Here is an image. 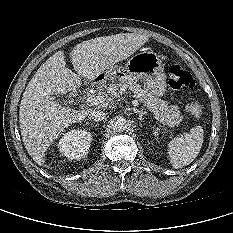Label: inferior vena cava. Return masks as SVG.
Wrapping results in <instances>:
<instances>
[{"label": "inferior vena cava", "instance_id": "obj_1", "mask_svg": "<svg viewBox=\"0 0 233 233\" xmlns=\"http://www.w3.org/2000/svg\"><path fill=\"white\" fill-rule=\"evenodd\" d=\"M88 118L92 121H102L106 118V113L102 110H92L88 114Z\"/></svg>", "mask_w": 233, "mask_h": 233}]
</instances>
